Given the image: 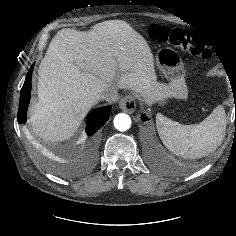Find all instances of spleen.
Wrapping results in <instances>:
<instances>
[{"label": "spleen", "instance_id": "obj_1", "mask_svg": "<svg viewBox=\"0 0 236 236\" xmlns=\"http://www.w3.org/2000/svg\"><path fill=\"white\" fill-rule=\"evenodd\" d=\"M157 131L167 149L184 158H201L215 151L226 132L224 108L219 105L202 122L182 125L161 113L156 115Z\"/></svg>", "mask_w": 236, "mask_h": 236}]
</instances>
